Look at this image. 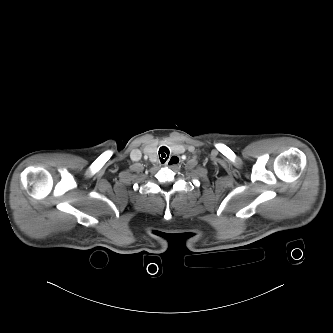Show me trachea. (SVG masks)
Returning a JSON list of instances; mask_svg holds the SVG:
<instances>
[{"instance_id":"obj_1","label":"trachea","mask_w":333,"mask_h":333,"mask_svg":"<svg viewBox=\"0 0 333 333\" xmlns=\"http://www.w3.org/2000/svg\"><path fill=\"white\" fill-rule=\"evenodd\" d=\"M169 154H170V151H169V149L167 147L162 146L159 149V159H160L161 163H165V161L169 157Z\"/></svg>"}]
</instances>
